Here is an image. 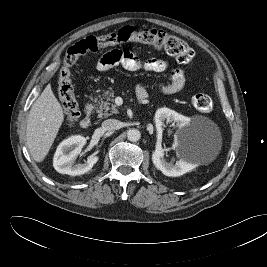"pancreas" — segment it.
I'll return each instance as SVG.
<instances>
[{"label": "pancreas", "instance_id": "obj_1", "mask_svg": "<svg viewBox=\"0 0 267 267\" xmlns=\"http://www.w3.org/2000/svg\"><path fill=\"white\" fill-rule=\"evenodd\" d=\"M114 97V91L110 89L105 91L102 96H99V99H94V102L96 103L94 109L98 113L99 117H108L118 113L116 105L111 103L113 102Z\"/></svg>", "mask_w": 267, "mask_h": 267}]
</instances>
